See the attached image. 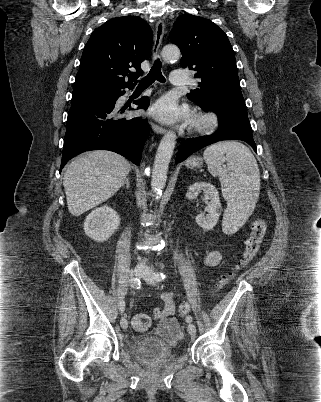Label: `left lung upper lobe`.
I'll return each instance as SVG.
<instances>
[{"label":"left lung upper lobe","instance_id":"1","mask_svg":"<svg viewBox=\"0 0 321 402\" xmlns=\"http://www.w3.org/2000/svg\"><path fill=\"white\" fill-rule=\"evenodd\" d=\"M170 39L181 50L182 67L197 71L194 77L201 79L199 88L187 94L190 100L208 109L220 99L243 98L234 51L215 23L191 14L180 16Z\"/></svg>","mask_w":321,"mask_h":402}]
</instances>
